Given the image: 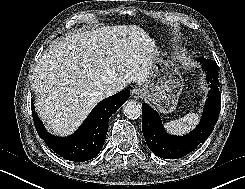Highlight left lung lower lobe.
Segmentation results:
<instances>
[{"mask_svg":"<svg viewBox=\"0 0 245 189\" xmlns=\"http://www.w3.org/2000/svg\"><path fill=\"white\" fill-rule=\"evenodd\" d=\"M206 71L207 80L211 83L203 115L199 125L189 134L172 136L166 133L159 114L148 104H142V132L149 149L164 159H178L203 143L211 134L218 120L221 109V93L219 91L218 65L215 61L199 58Z\"/></svg>","mask_w":245,"mask_h":189,"instance_id":"1","label":"left lung lower lobe"}]
</instances>
